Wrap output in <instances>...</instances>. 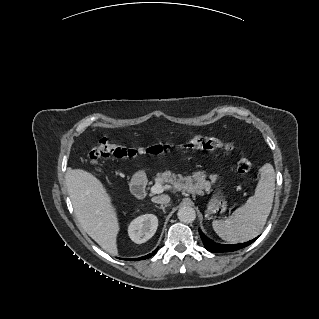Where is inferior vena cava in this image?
<instances>
[{"mask_svg":"<svg viewBox=\"0 0 319 319\" xmlns=\"http://www.w3.org/2000/svg\"><path fill=\"white\" fill-rule=\"evenodd\" d=\"M152 202L157 204H167L170 202V197L168 195H159L152 198Z\"/></svg>","mask_w":319,"mask_h":319,"instance_id":"obj_1","label":"inferior vena cava"}]
</instances>
